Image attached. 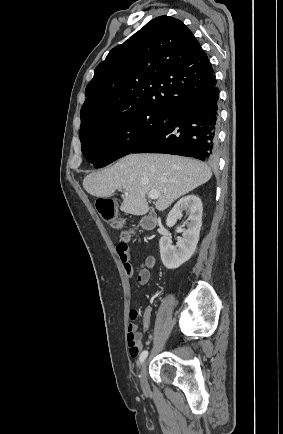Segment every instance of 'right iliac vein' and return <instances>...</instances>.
<instances>
[{
    "label": "right iliac vein",
    "instance_id": "1",
    "mask_svg": "<svg viewBox=\"0 0 283 434\" xmlns=\"http://www.w3.org/2000/svg\"><path fill=\"white\" fill-rule=\"evenodd\" d=\"M147 364L148 361H144L142 368H141V374H140V382H141V387L144 391H148L149 389V385H148V381H147Z\"/></svg>",
    "mask_w": 283,
    "mask_h": 434
}]
</instances>
